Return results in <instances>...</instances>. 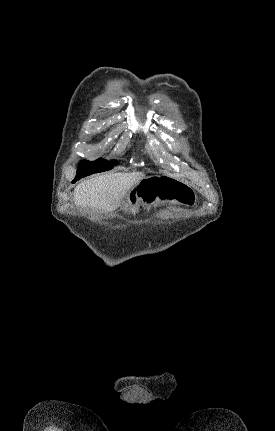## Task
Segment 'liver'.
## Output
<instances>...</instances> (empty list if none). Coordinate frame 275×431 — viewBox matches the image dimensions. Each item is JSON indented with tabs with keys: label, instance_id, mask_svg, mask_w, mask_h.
Returning a JSON list of instances; mask_svg holds the SVG:
<instances>
[{
	"label": "liver",
	"instance_id": "1",
	"mask_svg": "<svg viewBox=\"0 0 275 431\" xmlns=\"http://www.w3.org/2000/svg\"><path fill=\"white\" fill-rule=\"evenodd\" d=\"M143 172L110 173L80 183L74 190L75 204L103 212L116 209L140 180Z\"/></svg>",
	"mask_w": 275,
	"mask_h": 431
}]
</instances>
